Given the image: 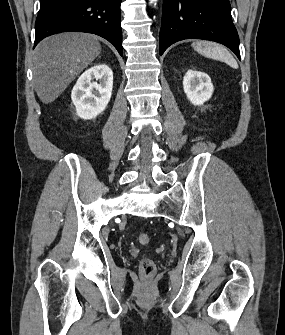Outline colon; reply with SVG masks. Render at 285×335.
<instances>
[{"instance_id":"5ec220e1","label":"colon","mask_w":285,"mask_h":335,"mask_svg":"<svg viewBox=\"0 0 285 335\" xmlns=\"http://www.w3.org/2000/svg\"><path fill=\"white\" fill-rule=\"evenodd\" d=\"M138 242L142 245H147L150 241V237L146 233H140L138 234ZM156 271V266L155 263L149 259V258H144L140 262V273L144 277H150L152 276Z\"/></svg>"}]
</instances>
